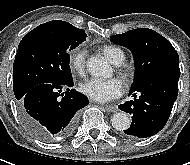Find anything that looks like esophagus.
<instances>
[{
  "label": "esophagus",
  "instance_id": "obj_1",
  "mask_svg": "<svg viewBox=\"0 0 190 165\" xmlns=\"http://www.w3.org/2000/svg\"><path fill=\"white\" fill-rule=\"evenodd\" d=\"M100 106L104 107L108 112L111 113H115L118 111L117 107L113 105H100Z\"/></svg>",
  "mask_w": 190,
  "mask_h": 165
}]
</instances>
